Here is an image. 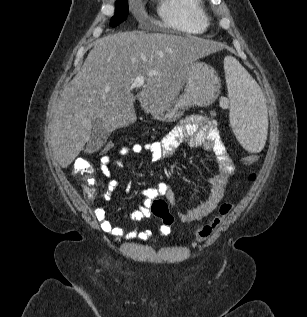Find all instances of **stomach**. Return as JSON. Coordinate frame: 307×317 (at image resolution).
<instances>
[{
    "mask_svg": "<svg viewBox=\"0 0 307 317\" xmlns=\"http://www.w3.org/2000/svg\"><path fill=\"white\" fill-rule=\"evenodd\" d=\"M185 89L163 108L152 107L149 113L156 120L173 122L178 120L185 109L191 106H205L219 95L220 80L215 70L204 62L190 64L186 73Z\"/></svg>",
    "mask_w": 307,
    "mask_h": 317,
    "instance_id": "1",
    "label": "stomach"
}]
</instances>
